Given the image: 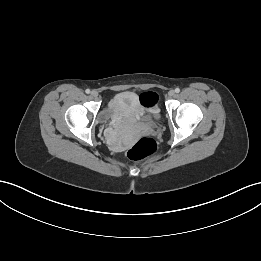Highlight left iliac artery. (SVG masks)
Here are the masks:
<instances>
[{
    "mask_svg": "<svg viewBox=\"0 0 261 261\" xmlns=\"http://www.w3.org/2000/svg\"><path fill=\"white\" fill-rule=\"evenodd\" d=\"M175 92H176V93H179V92H180V89H179V88H176V89H175Z\"/></svg>",
    "mask_w": 261,
    "mask_h": 261,
    "instance_id": "1",
    "label": "left iliac artery"
}]
</instances>
